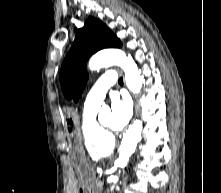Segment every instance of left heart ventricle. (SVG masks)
I'll use <instances>...</instances> for the list:
<instances>
[{"label": "left heart ventricle", "instance_id": "1", "mask_svg": "<svg viewBox=\"0 0 221 193\" xmlns=\"http://www.w3.org/2000/svg\"><path fill=\"white\" fill-rule=\"evenodd\" d=\"M102 123H103L105 126L114 129V124H113V117H112V115H110V114L107 115V116L103 119Z\"/></svg>", "mask_w": 221, "mask_h": 193}]
</instances>
